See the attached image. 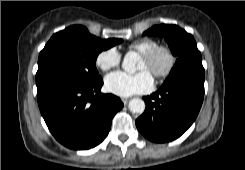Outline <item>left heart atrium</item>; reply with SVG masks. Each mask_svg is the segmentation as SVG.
Wrapping results in <instances>:
<instances>
[{
    "mask_svg": "<svg viewBox=\"0 0 245 170\" xmlns=\"http://www.w3.org/2000/svg\"><path fill=\"white\" fill-rule=\"evenodd\" d=\"M153 86V77L145 69L133 74L116 71L105 77L106 89L110 93L121 97L149 92L153 89Z\"/></svg>",
    "mask_w": 245,
    "mask_h": 170,
    "instance_id": "1",
    "label": "left heart atrium"
}]
</instances>
